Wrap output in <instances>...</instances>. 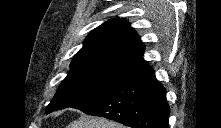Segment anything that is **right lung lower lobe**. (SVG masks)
<instances>
[{"label": "right lung lower lobe", "instance_id": "98d812e1", "mask_svg": "<svg viewBox=\"0 0 221 128\" xmlns=\"http://www.w3.org/2000/svg\"><path fill=\"white\" fill-rule=\"evenodd\" d=\"M73 108L132 128H169L166 90L147 65L104 94Z\"/></svg>", "mask_w": 221, "mask_h": 128}]
</instances>
